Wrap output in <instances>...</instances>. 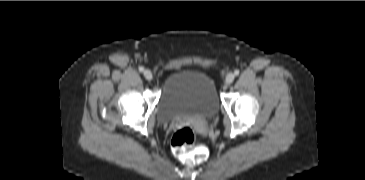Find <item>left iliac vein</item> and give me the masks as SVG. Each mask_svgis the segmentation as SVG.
I'll use <instances>...</instances> for the list:
<instances>
[{"label": "left iliac vein", "mask_w": 365, "mask_h": 180, "mask_svg": "<svg viewBox=\"0 0 365 180\" xmlns=\"http://www.w3.org/2000/svg\"><path fill=\"white\" fill-rule=\"evenodd\" d=\"M235 79V75L233 73H228L227 76H226V83L227 84H231Z\"/></svg>", "instance_id": "4c4485c4"}]
</instances>
